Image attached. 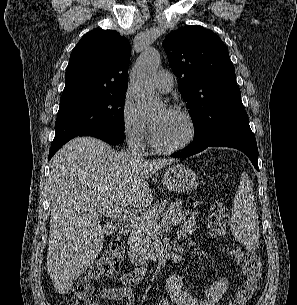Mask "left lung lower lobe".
Segmentation results:
<instances>
[{
    "mask_svg": "<svg viewBox=\"0 0 297 305\" xmlns=\"http://www.w3.org/2000/svg\"><path fill=\"white\" fill-rule=\"evenodd\" d=\"M207 147L236 148L246 154L259 171L257 143L245 111L217 124L211 134L204 135L200 140H194L183 151L174 153L171 157H188Z\"/></svg>",
    "mask_w": 297,
    "mask_h": 305,
    "instance_id": "1",
    "label": "left lung lower lobe"
}]
</instances>
